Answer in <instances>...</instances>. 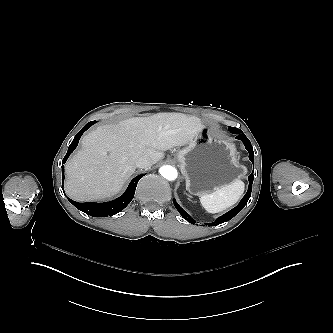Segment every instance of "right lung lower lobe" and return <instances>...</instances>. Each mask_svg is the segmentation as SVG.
<instances>
[{"label": "right lung lower lobe", "mask_w": 333, "mask_h": 333, "mask_svg": "<svg viewBox=\"0 0 333 333\" xmlns=\"http://www.w3.org/2000/svg\"><path fill=\"white\" fill-rule=\"evenodd\" d=\"M96 121H92L87 123L74 137L72 143L70 144L68 151L62 161V164L66 162L69 155L74 151V149L77 147L78 142L82 134L91 127ZM144 175H138L135 177L129 184L127 190L125 193L120 196L119 198L105 203H78L68 198V200L79 210L85 212L86 214L94 217H107V216H113L117 213H119L121 210H123L133 199L135 194V189L137 186L138 181L143 177ZM64 180V166H62V184ZM63 188V185H62Z\"/></svg>", "instance_id": "98d812e1"}]
</instances>
